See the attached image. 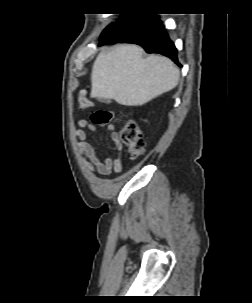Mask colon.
I'll return each instance as SVG.
<instances>
[{
  "label": "colon",
  "mask_w": 252,
  "mask_h": 303,
  "mask_svg": "<svg viewBox=\"0 0 252 303\" xmlns=\"http://www.w3.org/2000/svg\"><path fill=\"white\" fill-rule=\"evenodd\" d=\"M79 103L82 107H89L90 102L79 99ZM114 115L111 111L105 109L95 110L90 120L96 125H106L113 121ZM121 142L128 148L132 157L139 155L143 150L142 137L136 123L133 120H127L120 132Z\"/></svg>",
  "instance_id": "obj_1"
}]
</instances>
